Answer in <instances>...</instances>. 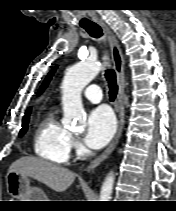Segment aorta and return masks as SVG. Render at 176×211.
I'll return each mask as SVG.
<instances>
[{
    "label": "aorta",
    "instance_id": "762f6f07",
    "mask_svg": "<svg viewBox=\"0 0 176 211\" xmlns=\"http://www.w3.org/2000/svg\"><path fill=\"white\" fill-rule=\"evenodd\" d=\"M96 62H80L70 67L62 82V104L64 125L82 130L86 116L81 102V91L101 70ZM114 185V175L108 174L101 186L99 201H110Z\"/></svg>",
    "mask_w": 176,
    "mask_h": 211
}]
</instances>
